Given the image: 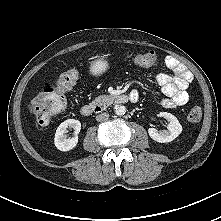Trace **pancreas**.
Segmentation results:
<instances>
[{
  "label": "pancreas",
  "mask_w": 221,
  "mask_h": 221,
  "mask_svg": "<svg viewBox=\"0 0 221 221\" xmlns=\"http://www.w3.org/2000/svg\"><path fill=\"white\" fill-rule=\"evenodd\" d=\"M113 100H114L113 95H100L92 102V104L93 105L99 104L106 107L112 104Z\"/></svg>",
  "instance_id": "obj_1"
}]
</instances>
